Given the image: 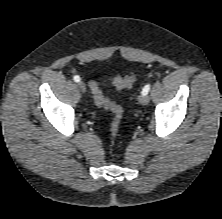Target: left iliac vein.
<instances>
[{"mask_svg":"<svg viewBox=\"0 0 222 219\" xmlns=\"http://www.w3.org/2000/svg\"><path fill=\"white\" fill-rule=\"evenodd\" d=\"M138 101L141 105H147L149 103V97L147 95L141 94L138 98Z\"/></svg>","mask_w":222,"mask_h":219,"instance_id":"obj_1","label":"left iliac vein"}]
</instances>
